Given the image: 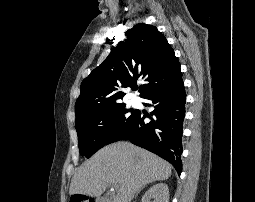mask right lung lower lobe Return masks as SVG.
I'll list each match as a JSON object with an SVG mask.
<instances>
[{"instance_id":"right-lung-lower-lobe-1","label":"right lung lower lobe","mask_w":255,"mask_h":202,"mask_svg":"<svg viewBox=\"0 0 255 202\" xmlns=\"http://www.w3.org/2000/svg\"><path fill=\"white\" fill-rule=\"evenodd\" d=\"M144 99L154 108L151 122L145 123V115L137 117L120 140H130L170 162L180 175L182 170V131L185 116L186 93L182 78L175 83L149 93Z\"/></svg>"}]
</instances>
